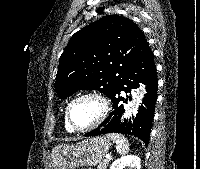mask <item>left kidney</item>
Returning <instances> with one entry per match:
<instances>
[{"label":"left kidney","mask_w":200,"mask_h":169,"mask_svg":"<svg viewBox=\"0 0 200 169\" xmlns=\"http://www.w3.org/2000/svg\"><path fill=\"white\" fill-rule=\"evenodd\" d=\"M140 158L138 156L134 155H127L122 156L121 158L115 160L112 165L110 166V169H140Z\"/></svg>","instance_id":"5707ae66"}]
</instances>
